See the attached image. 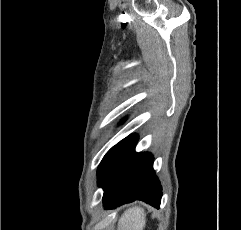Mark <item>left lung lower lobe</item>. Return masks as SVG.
Returning a JSON list of instances; mask_svg holds the SVG:
<instances>
[{
	"mask_svg": "<svg viewBox=\"0 0 241 230\" xmlns=\"http://www.w3.org/2000/svg\"><path fill=\"white\" fill-rule=\"evenodd\" d=\"M138 136L132 134L111 148L98 167V185L103 187L105 209L143 200L159 208L161 185L153 170L150 153L134 151Z\"/></svg>",
	"mask_w": 241,
	"mask_h": 230,
	"instance_id": "1",
	"label": "left lung lower lobe"
}]
</instances>
